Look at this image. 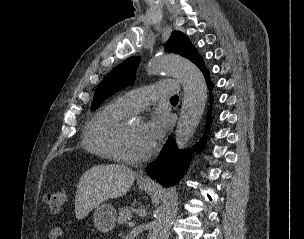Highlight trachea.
Segmentation results:
<instances>
[{"label": "trachea", "mask_w": 304, "mask_h": 239, "mask_svg": "<svg viewBox=\"0 0 304 239\" xmlns=\"http://www.w3.org/2000/svg\"><path fill=\"white\" fill-rule=\"evenodd\" d=\"M178 96H173L170 101H173V102H178Z\"/></svg>", "instance_id": "obj_1"}]
</instances>
